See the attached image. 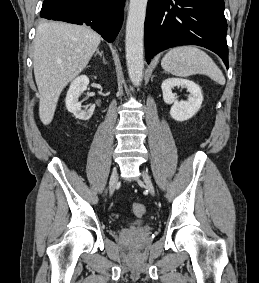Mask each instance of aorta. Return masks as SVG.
Instances as JSON below:
<instances>
[{"mask_svg": "<svg viewBox=\"0 0 259 283\" xmlns=\"http://www.w3.org/2000/svg\"><path fill=\"white\" fill-rule=\"evenodd\" d=\"M148 0H130L126 23V62L131 82L138 86L143 79V37Z\"/></svg>", "mask_w": 259, "mask_h": 283, "instance_id": "obj_1", "label": "aorta"}]
</instances>
